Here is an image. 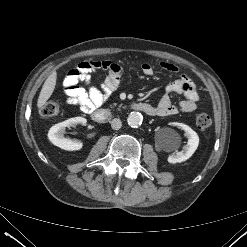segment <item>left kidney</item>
<instances>
[{
  "instance_id": "5707ae66",
  "label": "left kidney",
  "mask_w": 247,
  "mask_h": 247,
  "mask_svg": "<svg viewBox=\"0 0 247 247\" xmlns=\"http://www.w3.org/2000/svg\"><path fill=\"white\" fill-rule=\"evenodd\" d=\"M178 126H180L185 131V136L188 138V142L183 147L182 151L168 157V162L173 164L181 163L189 159L194 154L199 145V137L194 130L182 123H179ZM166 137L167 143L171 146L175 147L180 142L179 137L173 131H167Z\"/></svg>"
}]
</instances>
